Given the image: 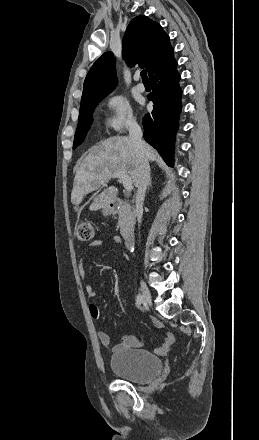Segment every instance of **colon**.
I'll return each mask as SVG.
<instances>
[{
	"label": "colon",
	"mask_w": 259,
	"mask_h": 440,
	"mask_svg": "<svg viewBox=\"0 0 259 440\" xmlns=\"http://www.w3.org/2000/svg\"><path fill=\"white\" fill-rule=\"evenodd\" d=\"M77 238L82 242H89L94 237V228L90 222L82 221L76 230Z\"/></svg>",
	"instance_id": "obj_1"
}]
</instances>
